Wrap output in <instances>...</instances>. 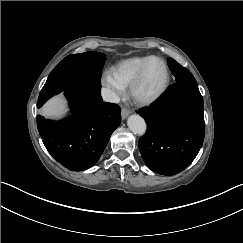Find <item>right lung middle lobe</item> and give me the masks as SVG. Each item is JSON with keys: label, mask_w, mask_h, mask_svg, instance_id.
Masks as SVG:
<instances>
[{"label": "right lung middle lobe", "mask_w": 243, "mask_h": 243, "mask_svg": "<svg viewBox=\"0 0 243 243\" xmlns=\"http://www.w3.org/2000/svg\"><path fill=\"white\" fill-rule=\"evenodd\" d=\"M106 55L99 52H85L65 57L50 73L42 88L37 106L53 95L66 91L75 84L101 86V72Z\"/></svg>", "instance_id": "1"}]
</instances>
